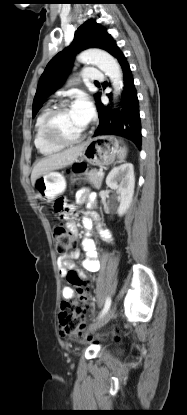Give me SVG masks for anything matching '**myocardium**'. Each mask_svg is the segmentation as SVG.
Returning a JSON list of instances; mask_svg holds the SVG:
<instances>
[{"label": "myocardium", "instance_id": "obj_1", "mask_svg": "<svg viewBox=\"0 0 187 415\" xmlns=\"http://www.w3.org/2000/svg\"><path fill=\"white\" fill-rule=\"evenodd\" d=\"M70 104L67 101H62L56 104L45 117L43 123V133L47 141L52 144L59 145V146H70L80 142L86 134L87 126H85L84 130L73 138H65L58 134L55 129V121L58 115L64 111L65 109L69 108Z\"/></svg>", "mask_w": 187, "mask_h": 415}]
</instances>
